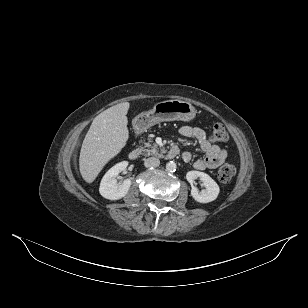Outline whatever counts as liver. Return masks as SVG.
<instances>
[{"label": "liver", "mask_w": 308, "mask_h": 308, "mask_svg": "<svg viewBox=\"0 0 308 308\" xmlns=\"http://www.w3.org/2000/svg\"><path fill=\"white\" fill-rule=\"evenodd\" d=\"M128 102L114 105L96 116L83 140L79 170L87 183H92L106 163L126 145Z\"/></svg>", "instance_id": "liver-1"}]
</instances>
